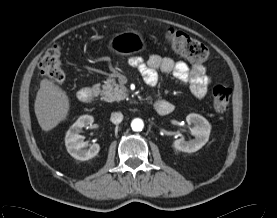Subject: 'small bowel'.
Masks as SVG:
<instances>
[{
	"label": "small bowel",
	"mask_w": 277,
	"mask_h": 218,
	"mask_svg": "<svg viewBox=\"0 0 277 218\" xmlns=\"http://www.w3.org/2000/svg\"><path fill=\"white\" fill-rule=\"evenodd\" d=\"M129 64L140 72L148 86H156L159 71L165 74L172 73L179 81L187 83L191 93L199 99L206 96L208 86L211 82V78L206 73V69L203 65L189 67L183 61H174L170 57H163L157 54L150 56L147 61L138 57H132L129 59ZM163 100L164 99H158L155 102V109L159 114H163L160 109H158L160 102ZM171 110L172 105L168 113H170Z\"/></svg>",
	"instance_id": "small-bowel-1"
}]
</instances>
